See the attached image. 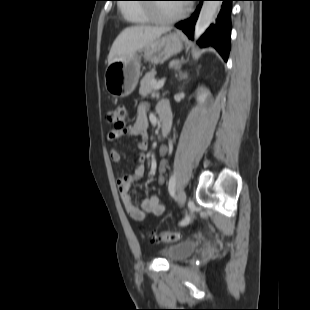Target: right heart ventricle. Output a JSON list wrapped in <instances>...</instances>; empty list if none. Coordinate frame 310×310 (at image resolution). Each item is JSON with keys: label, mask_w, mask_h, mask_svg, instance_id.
<instances>
[{"label": "right heart ventricle", "mask_w": 310, "mask_h": 310, "mask_svg": "<svg viewBox=\"0 0 310 310\" xmlns=\"http://www.w3.org/2000/svg\"><path fill=\"white\" fill-rule=\"evenodd\" d=\"M121 11L128 21L136 25L147 24L151 21L146 8L142 6L123 5Z\"/></svg>", "instance_id": "obj_1"}]
</instances>
